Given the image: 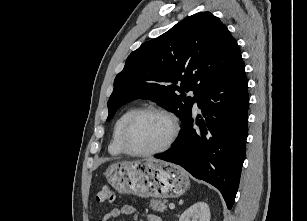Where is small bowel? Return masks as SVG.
<instances>
[{
	"label": "small bowel",
	"mask_w": 307,
	"mask_h": 221,
	"mask_svg": "<svg viewBox=\"0 0 307 221\" xmlns=\"http://www.w3.org/2000/svg\"><path fill=\"white\" fill-rule=\"evenodd\" d=\"M135 212V209L133 206L125 205L121 208H114L108 213H106L99 221H111L112 219H115L119 217L120 215H131ZM146 221H162L160 217L154 214H147L146 215Z\"/></svg>",
	"instance_id": "1"
}]
</instances>
